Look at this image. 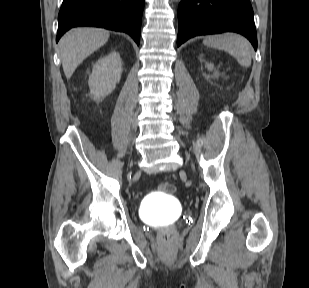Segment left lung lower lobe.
Segmentation results:
<instances>
[{
  "instance_id": "1",
  "label": "left lung lower lobe",
  "mask_w": 309,
  "mask_h": 288,
  "mask_svg": "<svg viewBox=\"0 0 309 288\" xmlns=\"http://www.w3.org/2000/svg\"><path fill=\"white\" fill-rule=\"evenodd\" d=\"M178 28L177 46L198 35L237 32L257 49L249 0H182L178 7Z\"/></svg>"
}]
</instances>
